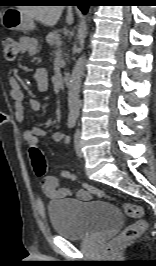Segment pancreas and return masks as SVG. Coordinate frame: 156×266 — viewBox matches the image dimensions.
<instances>
[{
    "instance_id": "1",
    "label": "pancreas",
    "mask_w": 156,
    "mask_h": 266,
    "mask_svg": "<svg viewBox=\"0 0 156 266\" xmlns=\"http://www.w3.org/2000/svg\"><path fill=\"white\" fill-rule=\"evenodd\" d=\"M46 41L49 45L59 48L62 44L60 35L54 32L49 33L46 36ZM64 65V63H62Z\"/></svg>"
}]
</instances>
